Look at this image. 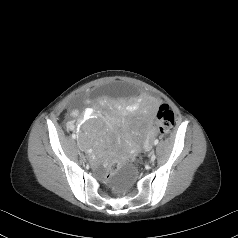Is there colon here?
Listing matches in <instances>:
<instances>
[{
    "instance_id": "1",
    "label": "colon",
    "mask_w": 238,
    "mask_h": 238,
    "mask_svg": "<svg viewBox=\"0 0 238 238\" xmlns=\"http://www.w3.org/2000/svg\"><path fill=\"white\" fill-rule=\"evenodd\" d=\"M156 120L158 124V128L161 134L168 133L171 131L174 125V114L169 109V107L165 104H162L158 107L156 112ZM121 166V162L112 161L107 165L106 171L103 173L101 177V182L103 184H108L110 179L112 178V174L116 172Z\"/></svg>"
}]
</instances>
